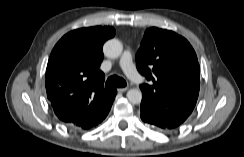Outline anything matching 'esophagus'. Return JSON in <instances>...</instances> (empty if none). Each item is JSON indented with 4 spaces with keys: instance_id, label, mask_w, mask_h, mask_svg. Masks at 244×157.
I'll return each mask as SVG.
<instances>
[{
    "instance_id": "1",
    "label": "esophagus",
    "mask_w": 244,
    "mask_h": 157,
    "mask_svg": "<svg viewBox=\"0 0 244 157\" xmlns=\"http://www.w3.org/2000/svg\"><path fill=\"white\" fill-rule=\"evenodd\" d=\"M128 90V87L118 88L117 91L120 93L126 92Z\"/></svg>"
}]
</instances>
